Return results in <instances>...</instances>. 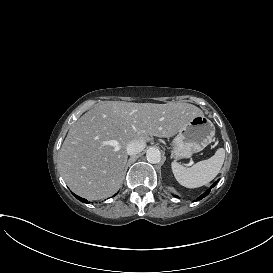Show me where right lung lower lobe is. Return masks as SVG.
Returning a JSON list of instances; mask_svg holds the SVG:
<instances>
[{
  "label": "right lung lower lobe",
  "instance_id": "right-lung-lower-lobe-1",
  "mask_svg": "<svg viewBox=\"0 0 273 273\" xmlns=\"http://www.w3.org/2000/svg\"><path fill=\"white\" fill-rule=\"evenodd\" d=\"M73 195H74L77 199H79L81 202L88 203L86 199L81 198V197H79V196H77V195H75V194H73Z\"/></svg>",
  "mask_w": 273,
  "mask_h": 273
}]
</instances>
